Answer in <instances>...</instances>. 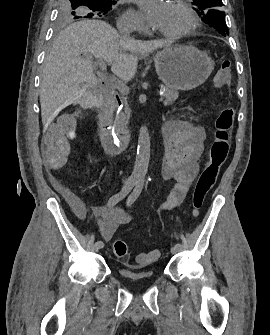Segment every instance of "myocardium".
<instances>
[{
	"instance_id": "obj_1",
	"label": "myocardium",
	"mask_w": 270,
	"mask_h": 335,
	"mask_svg": "<svg viewBox=\"0 0 270 335\" xmlns=\"http://www.w3.org/2000/svg\"><path fill=\"white\" fill-rule=\"evenodd\" d=\"M176 9L183 12L188 17L189 26L181 32L174 33V37L181 38L188 36L197 29L199 25V18L188 5H178ZM173 78H180V77H173Z\"/></svg>"
}]
</instances>
